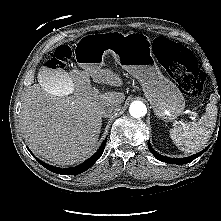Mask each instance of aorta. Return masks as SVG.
<instances>
[{
	"label": "aorta",
	"instance_id": "762f6f07",
	"mask_svg": "<svg viewBox=\"0 0 221 221\" xmlns=\"http://www.w3.org/2000/svg\"><path fill=\"white\" fill-rule=\"evenodd\" d=\"M129 112L132 117L140 118L144 116L147 112L146 105L141 101H134L131 103Z\"/></svg>",
	"mask_w": 221,
	"mask_h": 221
}]
</instances>
